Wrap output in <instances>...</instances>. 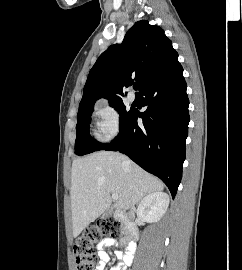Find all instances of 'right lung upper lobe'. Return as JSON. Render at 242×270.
I'll list each match as a JSON object with an SVG mask.
<instances>
[{
    "label": "right lung upper lobe",
    "mask_w": 242,
    "mask_h": 270,
    "mask_svg": "<svg viewBox=\"0 0 242 270\" xmlns=\"http://www.w3.org/2000/svg\"><path fill=\"white\" fill-rule=\"evenodd\" d=\"M178 60L162 28L141 20L126 33L121 45L103 52L89 72L79 110L94 106L98 98L122 100L123 90L139 83V90ZM133 78V79H132Z\"/></svg>",
    "instance_id": "right-lung-upper-lobe-1"
}]
</instances>
